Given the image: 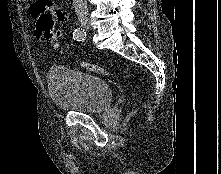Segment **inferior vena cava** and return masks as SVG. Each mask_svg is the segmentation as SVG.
Listing matches in <instances>:
<instances>
[{
  "label": "inferior vena cava",
  "mask_w": 221,
  "mask_h": 174,
  "mask_svg": "<svg viewBox=\"0 0 221 174\" xmlns=\"http://www.w3.org/2000/svg\"><path fill=\"white\" fill-rule=\"evenodd\" d=\"M76 15L84 17L88 15L87 1L86 0H73Z\"/></svg>",
  "instance_id": "602c4592"
}]
</instances>
